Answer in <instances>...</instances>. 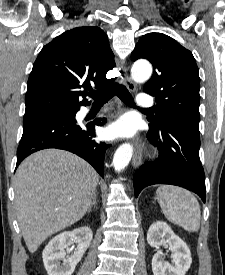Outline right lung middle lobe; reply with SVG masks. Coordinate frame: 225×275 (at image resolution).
<instances>
[{"label":"right lung middle lobe","mask_w":225,"mask_h":275,"mask_svg":"<svg viewBox=\"0 0 225 275\" xmlns=\"http://www.w3.org/2000/svg\"><path fill=\"white\" fill-rule=\"evenodd\" d=\"M52 112H56L63 116H74L75 115V110H57V111H52Z\"/></svg>","instance_id":"1"}]
</instances>
